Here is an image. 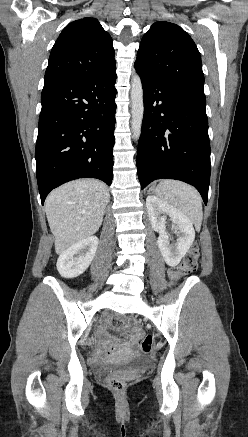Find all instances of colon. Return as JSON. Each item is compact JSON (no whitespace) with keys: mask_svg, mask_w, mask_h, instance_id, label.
Instances as JSON below:
<instances>
[{"mask_svg":"<svg viewBox=\"0 0 248 437\" xmlns=\"http://www.w3.org/2000/svg\"><path fill=\"white\" fill-rule=\"evenodd\" d=\"M199 260V249L197 245H193L190 250L183 257L181 263L175 267L168 270V276L172 281H177L183 276L194 272L197 268ZM153 347V338L151 336H146L139 345V350L141 353L147 354L151 351ZM108 387L116 392L122 393L125 390L126 384L122 379L117 377L107 378Z\"/></svg>","mask_w":248,"mask_h":437,"instance_id":"5ec220e1","label":"colon"}]
</instances>
